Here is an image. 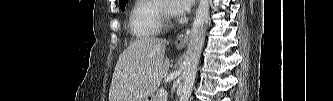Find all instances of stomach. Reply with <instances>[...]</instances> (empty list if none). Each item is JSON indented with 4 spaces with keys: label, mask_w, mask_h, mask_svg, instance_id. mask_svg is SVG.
Instances as JSON below:
<instances>
[{
    "label": "stomach",
    "mask_w": 333,
    "mask_h": 101,
    "mask_svg": "<svg viewBox=\"0 0 333 101\" xmlns=\"http://www.w3.org/2000/svg\"><path fill=\"white\" fill-rule=\"evenodd\" d=\"M146 101H150V99L148 98Z\"/></svg>",
    "instance_id": "stomach-1"
}]
</instances>
